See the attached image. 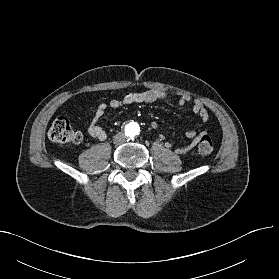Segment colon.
Wrapping results in <instances>:
<instances>
[{"mask_svg":"<svg viewBox=\"0 0 279 279\" xmlns=\"http://www.w3.org/2000/svg\"><path fill=\"white\" fill-rule=\"evenodd\" d=\"M49 139L58 144H78L82 136L75 131L66 117H58L52 123L49 132ZM213 150V142L208 135H203L198 142V152L200 155H209Z\"/></svg>","mask_w":279,"mask_h":279,"instance_id":"1","label":"colon"}]
</instances>
